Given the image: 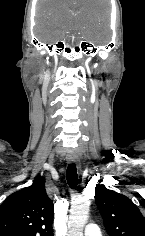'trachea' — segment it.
Returning a JSON list of instances; mask_svg holds the SVG:
<instances>
[{
    "instance_id": "1",
    "label": "trachea",
    "mask_w": 145,
    "mask_h": 236,
    "mask_svg": "<svg viewBox=\"0 0 145 236\" xmlns=\"http://www.w3.org/2000/svg\"><path fill=\"white\" fill-rule=\"evenodd\" d=\"M66 177H67L68 185L71 188H75L78 182V175H77L76 165L74 163L68 165Z\"/></svg>"
}]
</instances>
